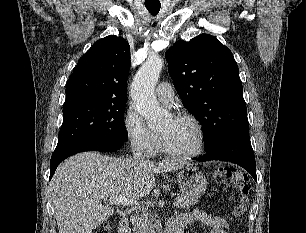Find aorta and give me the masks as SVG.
<instances>
[{
    "instance_id": "1",
    "label": "aorta",
    "mask_w": 306,
    "mask_h": 233,
    "mask_svg": "<svg viewBox=\"0 0 306 233\" xmlns=\"http://www.w3.org/2000/svg\"><path fill=\"white\" fill-rule=\"evenodd\" d=\"M162 67L163 59L159 55L149 56L137 71L131 86V96L135 107L147 120L150 128L162 124L166 117L154 93Z\"/></svg>"
}]
</instances>
